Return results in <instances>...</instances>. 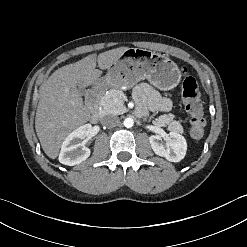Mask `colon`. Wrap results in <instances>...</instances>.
Masks as SVG:
<instances>
[{
	"label": "colon",
	"mask_w": 247,
	"mask_h": 247,
	"mask_svg": "<svg viewBox=\"0 0 247 247\" xmlns=\"http://www.w3.org/2000/svg\"><path fill=\"white\" fill-rule=\"evenodd\" d=\"M181 71L185 76L182 83V96L186 110L191 117V136L199 140L206 128L199 87L195 78L187 74L186 68L182 67Z\"/></svg>",
	"instance_id": "5ec220e1"
}]
</instances>
